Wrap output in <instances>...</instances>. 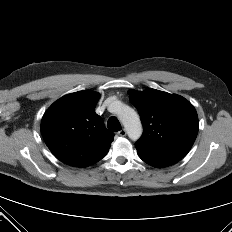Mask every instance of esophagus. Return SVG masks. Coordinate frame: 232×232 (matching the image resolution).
<instances>
[{"label":"esophagus","mask_w":232,"mask_h":232,"mask_svg":"<svg viewBox=\"0 0 232 232\" xmlns=\"http://www.w3.org/2000/svg\"><path fill=\"white\" fill-rule=\"evenodd\" d=\"M118 135L121 136V137H124L126 136V130L125 129H122L118 132Z\"/></svg>","instance_id":"1"}]
</instances>
